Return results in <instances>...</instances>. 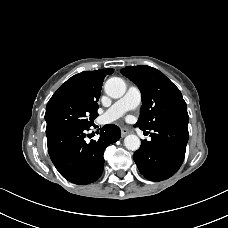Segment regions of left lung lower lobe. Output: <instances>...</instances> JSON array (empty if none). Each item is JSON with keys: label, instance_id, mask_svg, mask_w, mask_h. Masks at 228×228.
Wrapping results in <instances>:
<instances>
[{"label": "left lung lower lobe", "instance_id": "1", "mask_svg": "<svg viewBox=\"0 0 228 228\" xmlns=\"http://www.w3.org/2000/svg\"><path fill=\"white\" fill-rule=\"evenodd\" d=\"M151 141L142 140L134 153V160L143 176L162 181L180 168L189 138L188 123H170L156 127Z\"/></svg>", "mask_w": 228, "mask_h": 228}]
</instances>
